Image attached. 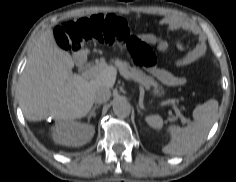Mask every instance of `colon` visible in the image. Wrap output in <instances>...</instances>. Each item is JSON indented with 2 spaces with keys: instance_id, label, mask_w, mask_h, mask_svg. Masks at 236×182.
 Returning <instances> with one entry per match:
<instances>
[{
  "instance_id": "5ec220e1",
  "label": "colon",
  "mask_w": 236,
  "mask_h": 182,
  "mask_svg": "<svg viewBox=\"0 0 236 182\" xmlns=\"http://www.w3.org/2000/svg\"><path fill=\"white\" fill-rule=\"evenodd\" d=\"M58 45L69 51H77L87 41L104 44L123 42L140 65L151 63L148 47L139 38L131 34L127 23L114 15H93L71 19L61 23L55 29Z\"/></svg>"
}]
</instances>
